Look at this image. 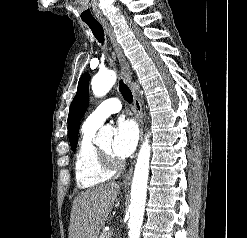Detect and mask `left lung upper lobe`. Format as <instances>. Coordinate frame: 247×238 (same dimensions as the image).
I'll return each instance as SVG.
<instances>
[{"label": "left lung upper lobe", "instance_id": "left-lung-upper-lobe-1", "mask_svg": "<svg viewBox=\"0 0 247 238\" xmlns=\"http://www.w3.org/2000/svg\"><path fill=\"white\" fill-rule=\"evenodd\" d=\"M89 103V75L83 74L78 83L77 93L71 103L68 115L69 140L72 150L77 146L79 123Z\"/></svg>", "mask_w": 247, "mask_h": 238}]
</instances>
